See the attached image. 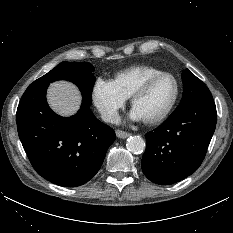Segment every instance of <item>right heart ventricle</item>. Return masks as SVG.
I'll return each mask as SVG.
<instances>
[{
    "mask_svg": "<svg viewBox=\"0 0 233 233\" xmlns=\"http://www.w3.org/2000/svg\"><path fill=\"white\" fill-rule=\"evenodd\" d=\"M162 70L150 65H136L117 72L112 83L118 92L125 98H130L132 93L148 77L161 73Z\"/></svg>",
    "mask_w": 233,
    "mask_h": 233,
    "instance_id": "obj_1",
    "label": "right heart ventricle"
}]
</instances>
